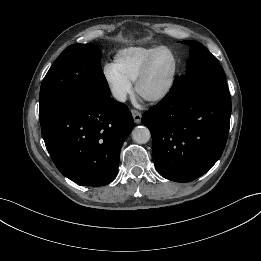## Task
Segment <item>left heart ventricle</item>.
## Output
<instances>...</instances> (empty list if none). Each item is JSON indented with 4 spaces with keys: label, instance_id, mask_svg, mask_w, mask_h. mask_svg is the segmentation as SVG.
I'll return each mask as SVG.
<instances>
[{
    "label": "left heart ventricle",
    "instance_id": "left-heart-ventricle-1",
    "mask_svg": "<svg viewBox=\"0 0 261 261\" xmlns=\"http://www.w3.org/2000/svg\"><path fill=\"white\" fill-rule=\"evenodd\" d=\"M173 56L168 51L159 52L153 60L149 74L141 86L143 95H151L161 90L168 82L173 70Z\"/></svg>",
    "mask_w": 261,
    "mask_h": 261
}]
</instances>
